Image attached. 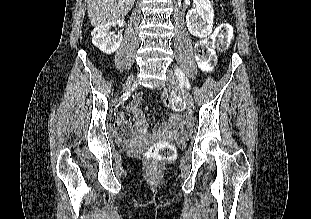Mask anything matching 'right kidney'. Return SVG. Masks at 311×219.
<instances>
[{
	"label": "right kidney",
	"mask_w": 311,
	"mask_h": 219,
	"mask_svg": "<svg viewBox=\"0 0 311 219\" xmlns=\"http://www.w3.org/2000/svg\"><path fill=\"white\" fill-rule=\"evenodd\" d=\"M117 24L120 27L124 25L122 20H117L115 22L97 26L91 33L93 44L105 54L114 53L122 42V30H120V33L117 35H112L110 32L111 27H114Z\"/></svg>",
	"instance_id": "1"
}]
</instances>
